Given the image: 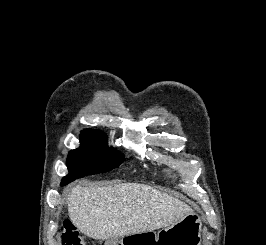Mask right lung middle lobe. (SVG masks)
<instances>
[{
    "label": "right lung middle lobe",
    "mask_w": 266,
    "mask_h": 245,
    "mask_svg": "<svg viewBox=\"0 0 266 245\" xmlns=\"http://www.w3.org/2000/svg\"><path fill=\"white\" fill-rule=\"evenodd\" d=\"M122 160V155L108 147L103 132L86 129L81 132L80 147L70 151L68 155L69 174L63 178L61 185L86 175L108 172L117 168Z\"/></svg>",
    "instance_id": "dd1d6c3e"
}]
</instances>
